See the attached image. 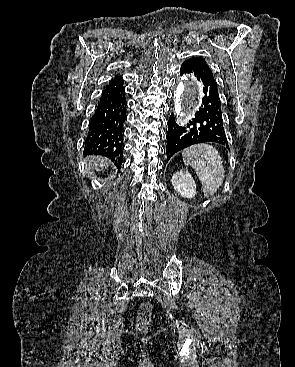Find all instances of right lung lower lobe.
Masks as SVG:
<instances>
[{
    "mask_svg": "<svg viewBox=\"0 0 295 367\" xmlns=\"http://www.w3.org/2000/svg\"><path fill=\"white\" fill-rule=\"evenodd\" d=\"M127 101L121 77L114 78L102 93L89 125L84 155H102L116 162H123L124 124L127 119Z\"/></svg>",
    "mask_w": 295,
    "mask_h": 367,
    "instance_id": "obj_1",
    "label": "right lung lower lobe"
}]
</instances>
